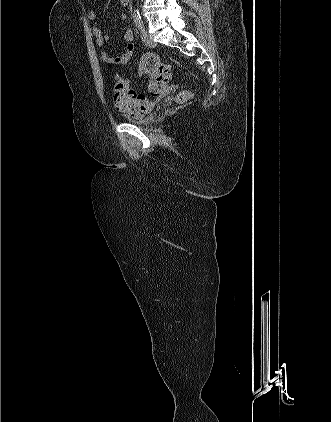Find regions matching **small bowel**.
I'll return each instance as SVG.
<instances>
[{"mask_svg": "<svg viewBox=\"0 0 331 422\" xmlns=\"http://www.w3.org/2000/svg\"><path fill=\"white\" fill-rule=\"evenodd\" d=\"M121 1V0H120ZM123 4V2L121 1ZM88 17L91 20H95L97 18V13L95 10H90L88 13ZM123 20L127 18L125 14L121 16ZM92 34L96 39L97 45L101 48V59L107 65H125L130 60L134 50L135 45L133 43L134 40V33L132 29H127L124 33V39L127 42L126 50L121 53L120 55H110L107 53L103 47L105 43L109 40L108 35H104L102 30L98 26L92 27Z\"/></svg>", "mask_w": 331, "mask_h": 422, "instance_id": "obj_1", "label": "small bowel"}]
</instances>
